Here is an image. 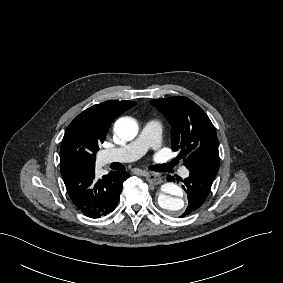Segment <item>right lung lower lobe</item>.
Returning a JSON list of instances; mask_svg holds the SVG:
<instances>
[{"label":"right lung lower lobe","mask_w":283,"mask_h":283,"mask_svg":"<svg viewBox=\"0 0 283 283\" xmlns=\"http://www.w3.org/2000/svg\"><path fill=\"white\" fill-rule=\"evenodd\" d=\"M128 176L126 172L111 171L97 179L95 166L76 168L62 174L73 204L90 218H100L115 209L123 181Z\"/></svg>","instance_id":"98d812e1"}]
</instances>
